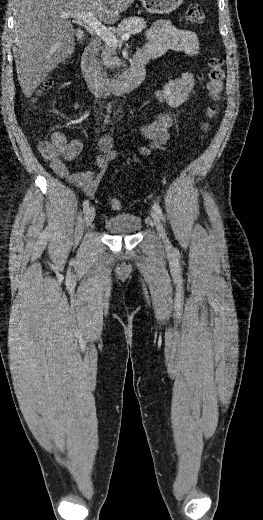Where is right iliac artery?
Segmentation results:
<instances>
[{"label":"right iliac artery","instance_id":"right-iliac-artery-1","mask_svg":"<svg viewBox=\"0 0 263 520\" xmlns=\"http://www.w3.org/2000/svg\"><path fill=\"white\" fill-rule=\"evenodd\" d=\"M88 206H89V202H88V200H85L83 202V209L86 210L88 208Z\"/></svg>","mask_w":263,"mask_h":520}]
</instances>
